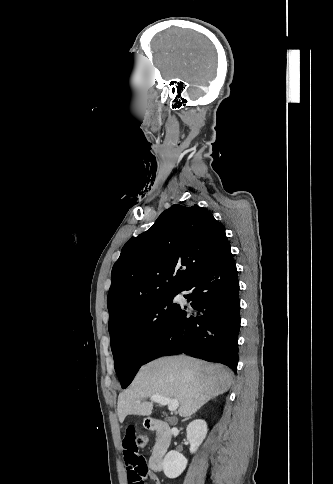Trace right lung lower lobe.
Here are the masks:
<instances>
[{"label":"right lung lower lobe","instance_id":"98d812e1","mask_svg":"<svg viewBox=\"0 0 333 484\" xmlns=\"http://www.w3.org/2000/svg\"><path fill=\"white\" fill-rule=\"evenodd\" d=\"M181 291L195 311L179 306L142 365L164 355L188 354L229 366L238 363L239 282L230 244Z\"/></svg>","mask_w":333,"mask_h":484}]
</instances>
